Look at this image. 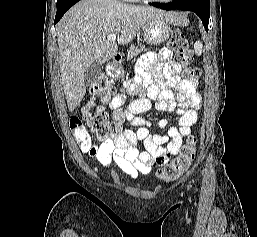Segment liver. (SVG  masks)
Listing matches in <instances>:
<instances>
[{
    "label": "liver",
    "instance_id": "1",
    "mask_svg": "<svg viewBox=\"0 0 257 237\" xmlns=\"http://www.w3.org/2000/svg\"><path fill=\"white\" fill-rule=\"evenodd\" d=\"M153 18L182 23L177 13L118 0H81L65 13L57 25V40L61 81L69 111H73L85 95L86 69L94 62L103 64L116 54L117 43L108 41L107 37L115 34L118 43L127 45Z\"/></svg>",
    "mask_w": 257,
    "mask_h": 237
}]
</instances>
